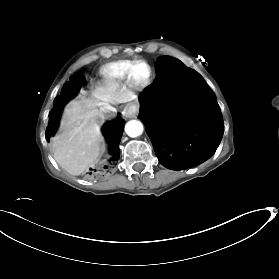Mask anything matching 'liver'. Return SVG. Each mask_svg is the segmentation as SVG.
Listing matches in <instances>:
<instances>
[{"label": "liver", "instance_id": "1", "mask_svg": "<svg viewBox=\"0 0 279 279\" xmlns=\"http://www.w3.org/2000/svg\"><path fill=\"white\" fill-rule=\"evenodd\" d=\"M94 99L71 101L65 108L60 133L52 138L54 159L69 174L80 175L94 167L105 151L100 126L96 122L97 106L132 101L134 93L108 83L93 91Z\"/></svg>", "mask_w": 279, "mask_h": 279}]
</instances>
